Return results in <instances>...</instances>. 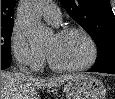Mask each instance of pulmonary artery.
Listing matches in <instances>:
<instances>
[{
  "instance_id": "pulmonary-artery-1",
  "label": "pulmonary artery",
  "mask_w": 115,
  "mask_h": 99,
  "mask_svg": "<svg viewBox=\"0 0 115 99\" xmlns=\"http://www.w3.org/2000/svg\"><path fill=\"white\" fill-rule=\"evenodd\" d=\"M43 17L51 24H59L61 21V12L54 4H47L43 7Z\"/></svg>"
}]
</instances>
